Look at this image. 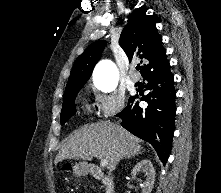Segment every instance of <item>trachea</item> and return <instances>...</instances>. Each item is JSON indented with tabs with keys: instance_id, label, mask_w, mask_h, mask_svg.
<instances>
[{
	"instance_id": "obj_1",
	"label": "trachea",
	"mask_w": 221,
	"mask_h": 193,
	"mask_svg": "<svg viewBox=\"0 0 221 193\" xmlns=\"http://www.w3.org/2000/svg\"><path fill=\"white\" fill-rule=\"evenodd\" d=\"M140 68H141L140 66H137V67H136L137 70H140Z\"/></svg>"
}]
</instances>
